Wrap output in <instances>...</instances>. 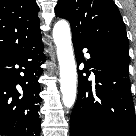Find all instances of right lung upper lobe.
I'll list each match as a JSON object with an SVG mask.
<instances>
[{"label":"right lung upper lobe","instance_id":"cb5924a9","mask_svg":"<svg viewBox=\"0 0 136 136\" xmlns=\"http://www.w3.org/2000/svg\"><path fill=\"white\" fill-rule=\"evenodd\" d=\"M35 0H0V56L13 54L41 37Z\"/></svg>","mask_w":136,"mask_h":136}]
</instances>
